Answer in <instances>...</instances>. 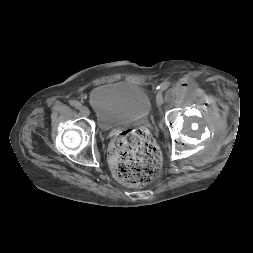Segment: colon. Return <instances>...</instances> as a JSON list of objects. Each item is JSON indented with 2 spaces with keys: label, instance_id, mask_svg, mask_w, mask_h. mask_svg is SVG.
Here are the masks:
<instances>
[{
  "label": "colon",
  "instance_id": "obj_1",
  "mask_svg": "<svg viewBox=\"0 0 253 253\" xmlns=\"http://www.w3.org/2000/svg\"><path fill=\"white\" fill-rule=\"evenodd\" d=\"M110 164L119 182L128 186H142L159 174L161 156L145 129H127L112 142Z\"/></svg>",
  "mask_w": 253,
  "mask_h": 253
}]
</instances>
